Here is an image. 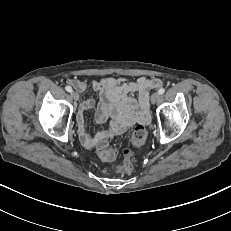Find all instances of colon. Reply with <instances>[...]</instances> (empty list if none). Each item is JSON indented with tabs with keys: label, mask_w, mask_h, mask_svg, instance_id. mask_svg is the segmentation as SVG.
I'll list each match as a JSON object with an SVG mask.
<instances>
[{
	"label": "colon",
	"mask_w": 231,
	"mask_h": 231,
	"mask_svg": "<svg viewBox=\"0 0 231 231\" xmlns=\"http://www.w3.org/2000/svg\"><path fill=\"white\" fill-rule=\"evenodd\" d=\"M148 139V131L143 125H138L133 130L131 143L135 147H142ZM98 156L102 161H111L114 159L116 152L106 141L101 142L98 147ZM123 162L116 168V171L123 174H129L133 171V152L130 149L123 150Z\"/></svg>",
	"instance_id": "5ec220e1"
}]
</instances>
